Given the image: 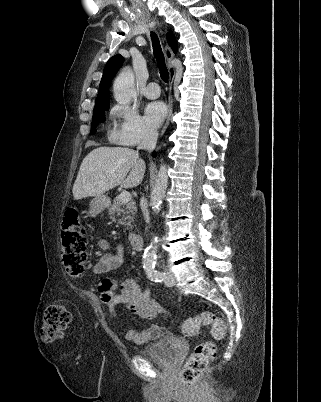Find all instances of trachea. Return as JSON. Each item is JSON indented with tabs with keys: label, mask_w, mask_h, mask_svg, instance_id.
Here are the masks:
<instances>
[{
	"label": "trachea",
	"mask_w": 321,
	"mask_h": 402,
	"mask_svg": "<svg viewBox=\"0 0 321 402\" xmlns=\"http://www.w3.org/2000/svg\"><path fill=\"white\" fill-rule=\"evenodd\" d=\"M153 52L157 61V65L160 71V76L164 82H168L169 73L165 64L164 54L162 52L161 44L156 33H151Z\"/></svg>",
	"instance_id": "trachea-1"
}]
</instances>
